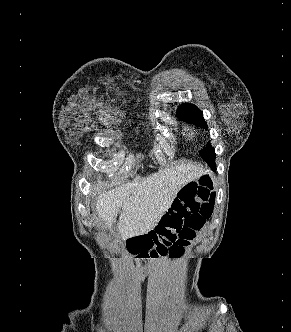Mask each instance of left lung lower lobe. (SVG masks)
I'll return each mask as SVG.
<instances>
[{
	"label": "left lung lower lobe",
	"mask_w": 291,
	"mask_h": 332,
	"mask_svg": "<svg viewBox=\"0 0 291 332\" xmlns=\"http://www.w3.org/2000/svg\"><path fill=\"white\" fill-rule=\"evenodd\" d=\"M216 165H213L212 168L215 169Z\"/></svg>",
	"instance_id": "obj_1"
}]
</instances>
